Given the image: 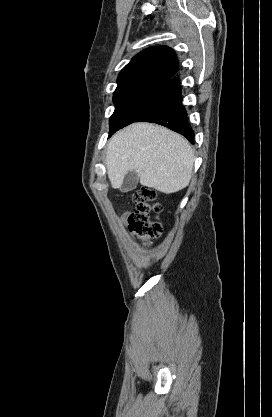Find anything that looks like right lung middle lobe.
Wrapping results in <instances>:
<instances>
[{
    "label": "right lung middle lobe",
    "instance_id": "obj_1",
    "mask_svg": "<svg viewBox=\"0 0 272 417\" xmlns=\"http://www.w3.org/2000/svg\"><path fill=\"white\" fill-rule=\"evenodd\" d=\"M161 88L134 89L114 94L115 111L110 118V135L132 123L161 93Z\"/></svg>",
    "mask_w": 272,
    "mask_h": 417
}]
</instances>
